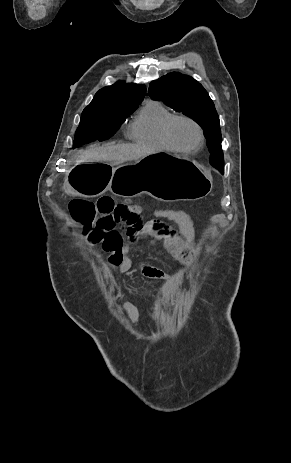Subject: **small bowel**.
Here are the masks:
<instances>
[{
  "mask_svg": "<svg viewBox=\"0 0 291 463\" xmlns=\"http://www.w3.org/2000/svg\"><path fill=\"white\" fill-rule=\"evenodd\" d=\"M168 222L174 223L178 229H172ZM123 234L127 236L125 240ZM141 239H146L155 248L164 242L167 250L187 272L192 268L198 256V248L194 241V229L188 215L179 210L161 209L153 213L150 220L143 221L140 208L131 205L130 213L121 228L110 230L95 229L85 234L86 244L90 247L102 246L110 254L108 260L109 273L126 272L132 268L129 256L131 247ZM140 272L150 278L167 281L170 275L144 262Z\"/></svg>",
  "mask_w": 291,
  "mask_h": 463,
  "instance_id": "1",
  "label": "small bowel"
}]
</instances>
